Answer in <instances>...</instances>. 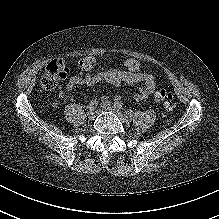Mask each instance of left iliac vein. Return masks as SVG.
I'll list each match as a JSON object with an SVG mask.
<instances>
[{"instance_id":"4c4485c4","label":"left iliac vein","mask_w":219,"mask_h":219,"mask_svg":"<svg viewBox=\"0 0 219 219\" xmlns=\"http://www.w3.org/2000/svg\"><path fill=\"white\" fill-rule=\"evenodd\" d=\"M103 106L108 110L111 111L112 113L116 114L119 119L123 123H128L130 121V118L126 116L120 108H118L116 105H111L110 103H103Z\"/></svg>"}]
</instances>
